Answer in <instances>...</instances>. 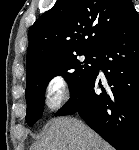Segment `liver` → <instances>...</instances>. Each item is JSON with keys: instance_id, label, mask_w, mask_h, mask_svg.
<instances>
[{"instance_id": "liver-1", "label": "liver", "mask_w": 139, "mask_h": 150, "mask_svg": "<svg viewBox=\"0 0 139 150\" xmlns=\"http://www.w3.org/2000/svg\"><path fill=\"white\" fill-rule=\"evenodd\" d=\"M32 150H112L83 122L68 117L51 120Z\"/></svg>"}]
</instances>
